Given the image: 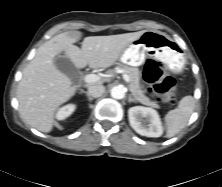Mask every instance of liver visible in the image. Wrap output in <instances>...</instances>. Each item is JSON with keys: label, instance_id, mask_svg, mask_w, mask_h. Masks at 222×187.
Masks as SVG:
<instances>
[{"label": "liver", "instance_id": "liver-1", "mask_svg": "<svg viewBox=\"0 0 222 187\" xmlns=\"http://www.w3.org/2000/svg\"><path fill=\"white\" fill-rule=\"evenodd\" d=\"M145 30L109 36L84 38L82 48L74 45L82 36L79 31L58 34L37 50L25 67L17 88L19 112L22 119L41 132H50L55 125V112L71 97L79 86L55 64L54 58L61 52L70 58L77 68H108L120 57L124 49L139 39ZM102 84V81L94 82ZM89 85V86H91Z\"/></svg>", "mask_w": 222, "mask_h": 187}]
</instances>
